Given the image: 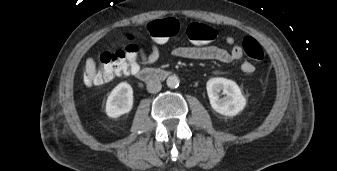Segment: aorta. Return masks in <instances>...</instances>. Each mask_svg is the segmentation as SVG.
<instances>
[{
	"instance_id": "aorta-1",
	"label": "aorta",
	"mask_w": 337,
	"mask_h": 171,
	"mask_svg": "<svg viewBox=\"0 0 337 171\" xmlns=\"http://www.w3.org/2000/svg\"><path fill=\"white\" fill-rule=\"evenodd\" d=\"M180 80L176 75H171L167 78L166 84L169 88H177L179 86Z\"/></svg>"
}]
</instances>
